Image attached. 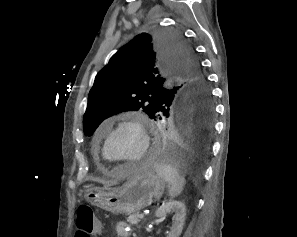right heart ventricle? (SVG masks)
Returning a JSON list of instances; mask_svg holds the SVG:
<instances>
[{
	"label": "right heart ventricle",
	"instance_id": "1",
	"mask_svg": "<svg viewBox=\"0 0 297 237\" xmlns=\"http://www.w3.org/2000/svg\"><path fill=\"white\" fill-rule=\"evenodd\" d=\"M104 159L108 160L104 152H102ZM109 161V160H108Z\"/></svg>",
	"mask_w": 297,
	"mask_h": 237
}]
</instances>
